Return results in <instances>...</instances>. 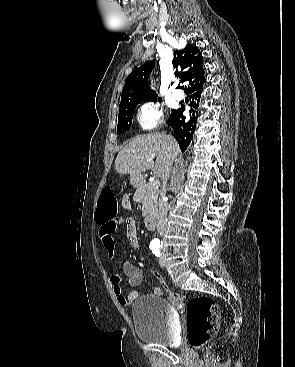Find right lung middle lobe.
Returning <instances> with one entry per match:
<instances>
[{"mask_svg": "<svg viewBox=\"0 0 295 367\" xmlns=\"http://www.w3.org/2000/svg\"><path fill=\"white\" fill-rule=\"evenodd\" d=\"M143 101H132L119 107L118 134L128 131L132 124V116L137 104Z\"/></svg>", "mask_w": 295, "mask_h": 367, "instance_id": "1", "label": "right lung middle lobe"}]
</instances>
